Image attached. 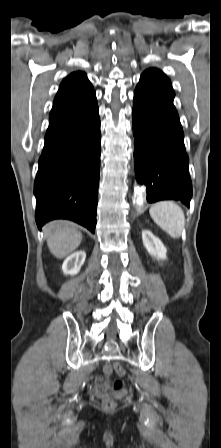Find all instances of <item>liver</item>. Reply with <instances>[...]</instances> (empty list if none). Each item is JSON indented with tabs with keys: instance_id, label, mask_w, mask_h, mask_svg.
Returning <instances> with one entry per match:
<instances>
[{
	"instance_id": "6515ba94",
	"label": "liver",
	"mask_w": 221,
	"mask_h": 448,
	"mask_svg": "<svg viewBox=\"0 0 221 448\" xmlns=\"http://www.w3.org/2000/svg\"><path fill=\"white\" fill-rule=\"evenodd\" d=\"M45 230L48 235L47 245L49 250L58 259L72 253L82 241V234L73 224L65 221L51 222Z\"/></svg>"
}]
</instances>
